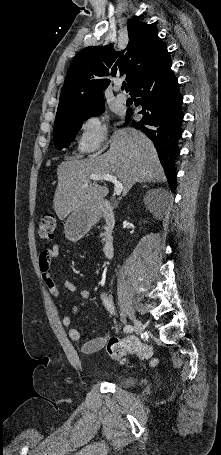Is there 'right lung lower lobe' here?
<instances>
[{
    "instance_id": "98d812e1",
    "label": "right lung lower lobe",
    "mask_w": 221,
    "mask_h": 455,
    "mask_svg": "<svg viewBox=\"0 0 221 455\" xmlns=\"http://www.w3.org/2000/svg\"><path fill=\"white\" fill-rule=\"evenodd\" d=\"M171 65L170 55L165 50L135 83L130 95L135 106H142L140 113L143 116L139 122L133 121L132 124L154 142L169 186L174 192L177 178L175 160L180 153L178 143L182 136L184 114L183 97ZM130 114L131 110H127V123L131 121Z\"/></svg>"
}]
</instances>
